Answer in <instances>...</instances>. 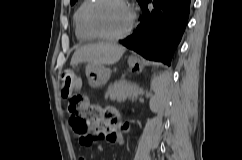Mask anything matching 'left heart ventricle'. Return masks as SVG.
Returning a JSON list of instances; mask_svg holds the SVG:
<instances>
[{
	"label": "left heart ventricle",
	"mask_w": 242,
	"mask_h": 160,
	"mask_svg": "<svg viewBox=\"0 0 242 160\" xmlns=\"http://www.w3.org/2000/svg\"><path fill=\"white\" fill-rule=\"evenodd\" d=\"M130 20V10L121 0H102L92 12V21L102 33L117 35Z\"/></svg>",
	"instance_id": "obj_1"
}]
</instances>
